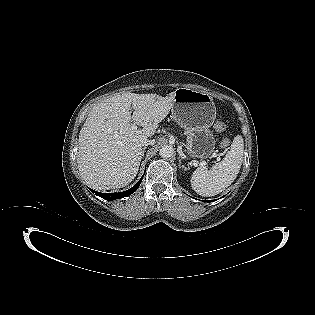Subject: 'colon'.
<instances>
[{
  "instance_id": "obj_1",
  "label": "colon",
  "mask_w": 315,
  "mask_h": 315,
  "mask_svg": "<svg viewBox=\"0 0 315 315\" xmlns=\"http://www.w3.org/2000/svg\"><path fill=\"white\" fill-rule=\"evenodd\" d=\"M214 128L217 131H224L227 128V124L223 119H218L216 120L215 124H214ZM220 145L222 147H228L230 145V140L228 138H222L220 140Z\"/></svg>"
}]
</instances>
